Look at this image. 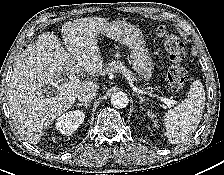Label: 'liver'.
Instances as JSON below:
<instances>
[{"label": "liver", "mask_w": 224, "mask_h": 175, "mask_svg": "<svg viewBox=\"0 0 224 175\" xmlns=\"http://www.w3.org/2000/svg\"><path fill=\"white\" fill-rule=\"evenodd\" d=\"M106 24L105 18L97 17L66 22L61 33L69 52L54 33L44 32L20 55L9 83L8 106L23 140L37 143L43 130L72 107L80 91L99 89L93 81L61 89L56 79L62 74L74 79L82 70L92 76L102 74L104 62L96 37ZM45 85L55 86L58 94L45 96Z\"/></svg>", "instance_id": "liver-1"}]
</instances>
